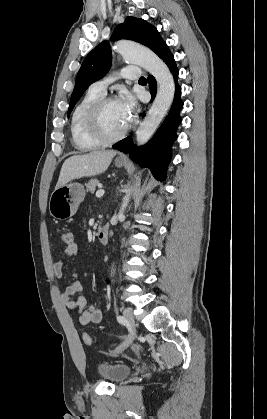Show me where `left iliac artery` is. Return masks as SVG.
I'll return each mask as SVG.
<instances>
[{
  "instance_id": "obj_1",
  "label": "left iliac artery",
  "mask_w": 267,
  "mask_h": 419,
  "mask_svg": "<svg viewBox=\"0 0 267 419\" xmlns=\"http://www.w3.org/2000/svg\"><path fill=\"white\" fill-rule=\"evenodd\" d=\"M117 320H118V322H119L120 324H122V325H126V324H127L126 319H125L123 316H121V315H119V316L117 317Z\"/></svg>"
}]
</instances>
